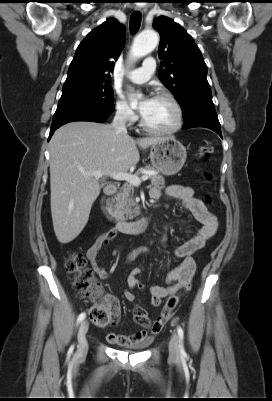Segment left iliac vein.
Instances as JSON below:
<instances>
[{
    "mask_svg": "<svg viewBox=\"0 0 272 401\" xmlns=\"http://www.w3.org/2000/svg\"><path fill=\"white\" fill-rule=\"evenodd\" d=\"M169 353L171 358H178L180 355L179 352V336L177 335V333H173L171 340L169 342Z\"/></svg>",
    "mask_w": 272,
    "mask_h": 401,
    "instance_id": "4c4485c4",
    "label": "left iliac vein"
}]
</instances>
